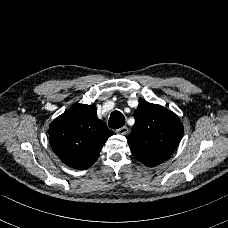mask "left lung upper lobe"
<instances>
[{"label": "left lung upper lobe", "mask_w": 228, "mask_h": 228, "mask_svg": "<svg viewBox=\"0 0 228 228\" xmlns=\"http://www.w3.org/2000/svg\"><path fill=\"white\" fill-rule=\"evenodd\" d=\"M134 117L135 124L127 141L135 158L149 167L167 160L183 135V125L177 115L160 105L143 101Z\"/></svg>", "instance_id": "5c2ea615"}]
</instances>
